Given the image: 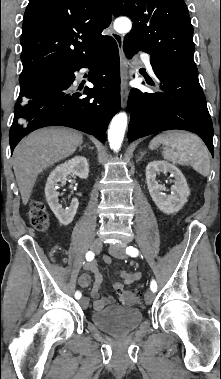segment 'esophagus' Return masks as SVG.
Wrapping results in <instances>:
<instances>
[{"label": "esophagus", "instance_id": "obj_1", "mask_svg": "<svg viewBox=\"0 0 221 379\" xmlns=\"http://www.w3.org/2000/svg\"><path fill=\"white\" fill-rule=\"evenodd\" d=\"M110 35L114 38L119 49L120 56V68H121V106L125 108L128 100V64L127 59L123 51V37L122 35L116 33L112 26L110 27Z\"/></svg>", "mask_w": 221, "mask_h": 379}]
</instances>
